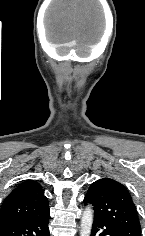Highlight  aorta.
Segmentation results:
<instances>
[{
	"instance_id": "762f6f07",
	"label": "aorta",
	"mask_w": 145,
	"mask_h": 236,
	"mask_svg": "<svg viewBox=\"0 0 145 236\" xmlns=\"http://www.w3.org/2000/svg\"><path fill=\"white\" fill-rule=\"evenodd\" d=\"M92 224H93V210L91 206H87L84 209L81 218L80 236H90Z\"/></svg>"
}]
</instances>
